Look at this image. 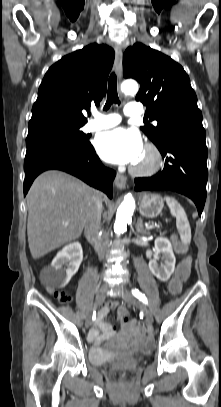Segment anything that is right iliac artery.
<instances>
[{"instance_id":"right-iliac-artery-1","label":"right iliac artery","mask_w":221,"mask_h":407,"mask_svg":"<svg viewBox=\"0 0 221 407\" xmlns=\"http://www.w3.org/2000/svg\"><path fill=\"white\" fill-rule=\"evenodd\" d=\"M93 314H94V316H96V312H95V311H94V313H93Z\"/></svg>"}]
</instances>
